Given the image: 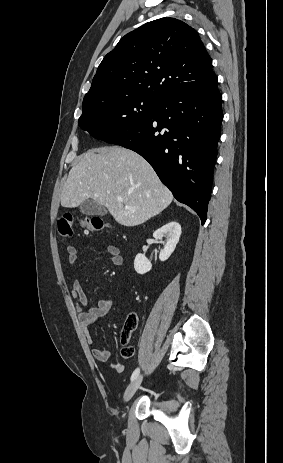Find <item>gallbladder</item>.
<instances>
[{"label":"gallbladder","instance_id":"gallbladder-1","mask_svg":"<svg viewBox=\"0 0 283 463\" xmlns=\"http://www.w3.org/2000/svg\"><path fill=\"white\" fill-rule=\"evenodd\" d=\"M80 210L85 215H105L107 213L106 208L97 202L87 199L80 205Z\"/></svg>","mask_w":283,"mask_h":463}]
</instances>
